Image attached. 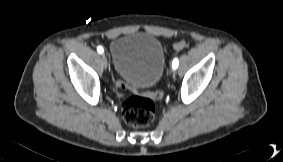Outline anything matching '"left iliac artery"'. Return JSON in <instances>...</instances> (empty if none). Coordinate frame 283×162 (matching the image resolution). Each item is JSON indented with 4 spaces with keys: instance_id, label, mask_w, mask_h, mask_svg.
<instances>
[{
    "instance_id": "1",
    "label": "left iliac artery",
    "mask_w": 283,
    "mask_h": 162,
    "mask_svg": "<svg viewBox=\"0 0 283 162\" xmlns=\"http://www.w3.org/2000/svg\"><path fill=\"white\" fill-rule=\"evenodd\" d=\"M178 64H179V61L177 58H175L172 62V68L173 69H176L178 67Z\"/></svg>"
}]
</instances>
